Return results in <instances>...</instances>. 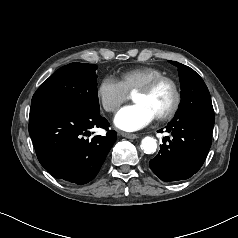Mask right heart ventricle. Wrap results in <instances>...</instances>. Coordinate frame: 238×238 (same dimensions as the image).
I'll return each mask as SVG.
<instances>
[{
  "label": "right heart ventricle",
  "mask_w": 238,
  "mask_h": 238,
  "mask_svg": "<svg viewBox=\"0 0 238 238\" xmlns=\"http://www.w3.org/2000/svg\"><path fill=\"white\" fill-rule=\"evenodd\" d=\"M164 75V72L159 68L141 66L123 72L119 81L127 93H132L150 80Z\"/></svg>",
  "instance_id": "1"
}]
</instances>
